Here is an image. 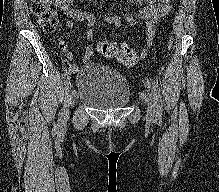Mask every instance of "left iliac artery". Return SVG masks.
Masks as SVG:
<instances>
[{
    "label": "left iliac artery",
    "mask_w": 219,
    "mask_h": 192,
    "mask_svg": "<svg viewBox=\"0 0 219 192\" xmlns=\"http://www.w3.org/2000/svg\"><path fill=\"white\" fill-rule=\"evenodd\" d=\"M145 86L148 87V88H150L152 86L153 95H154V98H155V101H156L157 114L159 115V117H161L163 102H162V98H161V93H160V88L158 86V82L155 81V80L146 81L145 82Z\"/></svg>",
    "instance_id": "44dca946"
}]
</instances>
